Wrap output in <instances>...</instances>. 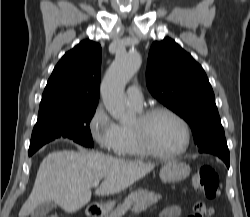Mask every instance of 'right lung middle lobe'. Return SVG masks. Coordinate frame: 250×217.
I'll list each match as a JSON object with an SVG mask.
<instances>
[{"label":"right lung middle lobe","mask_w":250,"mask_h":217,"mask_svg":"<svg viewBox=\"0 0 250 217\" xmlns=\"http://www.w3.org/2000/svg\"><path fill=\"white\" fill-rule=\"evenodd\" d=\"M97 105L65 108L39 114L29 147V156L56 138L73 139L78 144L93 147L89 123Z\"/></svg>","instance_id":"1"}]
</instances>
